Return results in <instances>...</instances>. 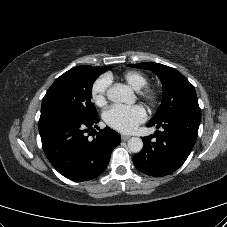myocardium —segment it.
Masks as SVG:
<instances>
[{"mask_svg": "<svg viewBox=\"0 0 227 227\" xmlns=\"http://www.w3.org/2000/svg\"><path fill=\"white\" fill-rule=\"evenodd\" d=\"M140 96L148 103H155L158 100V92L153 87H145L140 92Z\"/></svg>", "mask_w": 227, "mask_h": 227, "instance_id": "f54148a6", "label": "myocardium"}]
</instances>
